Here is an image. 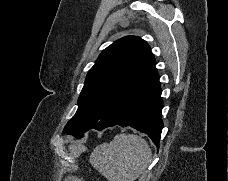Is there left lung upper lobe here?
<instances>
[{"label": "left lung upper lobe", "mask_w": 228, "mask_h": 181, "mask_svg": "<svg viewBox=\"0 0 228 181\" xmlns=\"http://www.w3.org/2000/svg\"><path fill=\"white\" fill-rule=\"evenodd\" d=\"M155 64L149 45L140 37L126 36L112 43L89 70L78 110L63 132L75 136L120 121L133 91Z\"/></svg>", "instance_id": "left-lung-upper-lobe-1"}]
</instances>
